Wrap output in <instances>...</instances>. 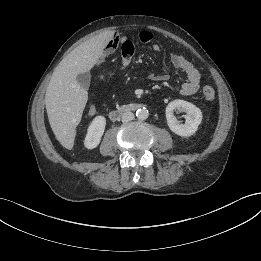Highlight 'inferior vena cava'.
<instances>
[{
  "mask_svg": "<svg viewBox=\"0 0 261 261\" xmlns=\"http://www.w3.org/2000/svg\"><path fill=\"white\" fill-rule=\"evenodd\" d=\"M134 119V114L131 111L124 112L121 115L122 122H128Z\"/></svg>",
  "mask_w": 261,
  "mask_h": 261,
  "instance_id": "1",
  "label": "inferior vena cava"
}]
</instances>
